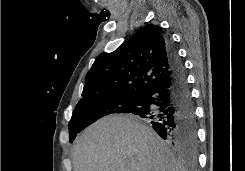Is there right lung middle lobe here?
<instances>
[{
	"mask_svg": "<svg viewBox=\"0 0 245 171\" xmlns=\"http://www.w3.org/2000/svg\"><path fill=\"white\" fill-rule=\"evenodd\" d=\"M141 96H112L98 100L79 101L69 122L70 142L84 128L99 118L115 113H130L141 104Z\"/></svg>",
	"mask_w": 245,
	"mask_h": 171,
	"instance_id": "dd1d6c3e",
	"label": "right lung middle lobe"
}]
</instances>
